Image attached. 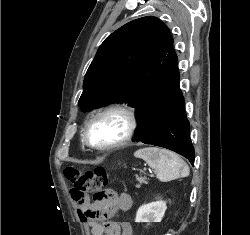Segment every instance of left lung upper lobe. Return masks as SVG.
Masks as SVG:
<instances>
[{
	"mask_svg": "<svg viewBox=\"0 0 250 235\" xmlns=\"http://www.w3.org/2000/svg\"><path fill=\"white\" fill-rule=\"evenodd\" d=\"M172 46L168 27L156 17L120 27L104 40L89 66L79 106L84 111L110 103L136 107Z\"/></svg>",
	"mask_w": 250,
	"mask_h": 235,
	"instance_id": "obj_1",
	"label": "left lung upper lobe"
}]
</instances>
